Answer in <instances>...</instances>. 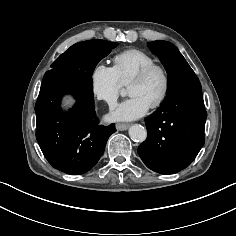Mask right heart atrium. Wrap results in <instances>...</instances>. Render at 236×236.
Masks as SVG:
<instances>
[{
	"label": "right heart atrium",
	"mask_w": 236,
	"mask_h": 236,
	"mask_svg": "<svg viewBox=\"0 0 236 236\" xmlns=\"http://www.w3.org/2000/svg\"><path fill=\"white\" fill-rule=\"evenodd\" d=\"M89 83L92 95L97 100L106 102L109 106L115 105L124 86L114 67L103 63L93 66L89 74Z\"/></svg>",
	"instance_id": "right-heart-atrium-1"
}]
</instances>
